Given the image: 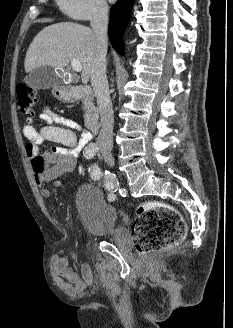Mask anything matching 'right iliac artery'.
<instances>
[{
  "label": "right iliac artery",
  "instance_id": "82829eb1",
  "mask_svg": "<svg viewBox=\"0 0 233 328\" xmlns=\"http://www.w3.org/2000/svg\"><path fill=\"white\" fill-rule=\"evenodd\" d=\"M98 152V147L95 144H90L85 150V157L87 159L93 158ZM107 174V173H106ZM117 181L115 179V175L108 174L103 181V186L107 190V198L109 201H115L117 191Z\"/></svg>",
  "mask_w": 233,
  "mask_h": 328
}]
</instances>
